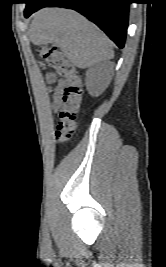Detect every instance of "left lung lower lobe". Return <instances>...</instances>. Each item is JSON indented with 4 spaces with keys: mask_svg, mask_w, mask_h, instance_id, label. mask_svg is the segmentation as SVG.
<instances>
[{
    "mask_svg": "<svg viewBox=\"0 0 166 267\" xmlns=\"http://www.w3.org/2000/svg\"><path fill=\"white\" fill-rule=\"evenodd\" d=\"M25 3L26 18L47 6L76 10L98 25L118 47H124L131 0H26Z\"/></svg>",
    "mask_w": 166,
    "mask_h": 267,
    "instance_id": "obj_1",
    "label": "left lung lower lobe"
}]
</instances>
